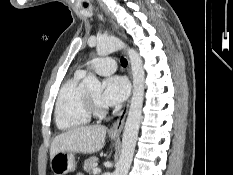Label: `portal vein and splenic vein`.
<instances>
[{"instance_id": "portal-vein-and-splenic-vein-1", "label": "portal vein and splenic vein", "mask_w": 233, "mask_h": 175, "mask_svg": "<svg viewBox=\"0 0 233 175\" xmlns=\"http://www.w3.org/2000/svg\"><path fill=\"white\" fill-rule=\"evenodd\" d=\"M101 172V169L100 168H94L93 169V173L94 174H98V173H100Z\"/></svg>"}]
</instances>
